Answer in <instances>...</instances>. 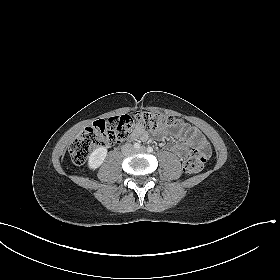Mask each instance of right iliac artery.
Listing matches in <instances>:
<instances>
[{"label": "right iliac artery", "instance_id": "obj_1", "mask_svg": "<svg viewBox=\"0 0 280 280\" xmlns=\"http://www.w3.org/2000/svg\"><path fill=\"white\" fill-rule=\"evenodd\" d=\"M141 147V145L139 143H134V148L135 149H139Z\"/></svg>", "mask_w": 280, "mask_h": 280}]
</instances>
